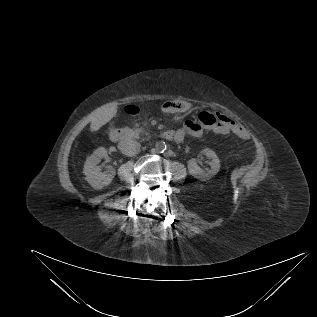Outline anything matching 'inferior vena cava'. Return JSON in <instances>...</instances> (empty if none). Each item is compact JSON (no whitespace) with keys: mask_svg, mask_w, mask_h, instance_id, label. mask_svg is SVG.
Returning <instances> with one entry per match:
<instances>
[{"mask_svg":"<svg viewBox=\"0 0 317 317\" xmlns=\"http://www.w3.org/2000/svg\"><path fill=\"white\" fill-rule=\"evenodd\" d=\"M119 150L126 156H134L140 151V144L136 140L124 139L118 144Z\"/></svg>","mask_w":317,"mask_h":317,"instance_id":"inferior-vena-cava-1","label":"inferior vena cava"}]
</instances>
